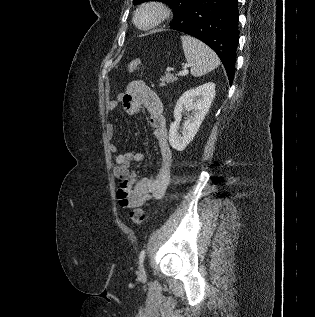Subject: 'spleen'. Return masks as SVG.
<instances>
[{
	"label": "spleen",
	"mask_w": 315,
	"mask_h": 317,
	"mask_svg": "<svg viewBox=\"0 0 315 317\" xmlns=\"http://www.w3.org/2000/svg\"><path fill=\"white\" fill-rule=\"evenodd\" d=\"M186 61L191 66V74L200 77L217 68L220 60L206 44L194 37L181 35Z\"/></svg>",
	"instance_id": "1"
}]
</instances>
